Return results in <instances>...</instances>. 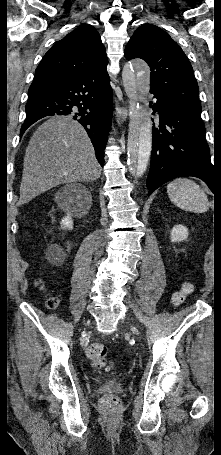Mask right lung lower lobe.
<instances>
[{
    "instance_id": "right-lung-lower-lobe-1",
    "label": "right lung lower lobe",
    "mask_w": 221,
    "mask_h": 455,
    "mask_svg": "<svg viewBox=\"0 0 221 455\" xmlns=\"http://www.w3.org/2000/svg\"><path fill=\"white\" fill-rule=\"evenodd\" d=\"M106 66L99 65L68 77L45 92L29 97L21 136L43 117L68 115L85 128L94 146L96 158L103 166L113 113L112 90Z\"/></svg>"
}]
</instances>
